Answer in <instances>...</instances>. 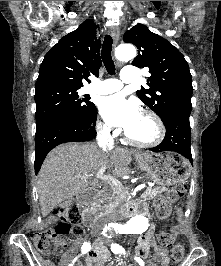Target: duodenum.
<instances>
[{
    "instance_id": "obj_1",
    "label": "duodenum",
    "mask_w": 221,
    "mask_h": 266,
    "mask_svg": "<svg viewBox=\"0 0 221 266\" xmlns=\"http://www.w3.org/2000/svg\"><path fill=\"white\" fill-rule=\"evenodd\" d=\"M97 197V192L94 190H88L79 195V200L83 204H87L93 201ZM143 205L140 202H132L126 205V207H119L117 211L121 212V215L134 216L140 212ZM119 212H114L119 215ZM99 215V210L95 208L86 209L83 213V224L91 227L95 224Z\"/></svg>"
}]
</instances>
